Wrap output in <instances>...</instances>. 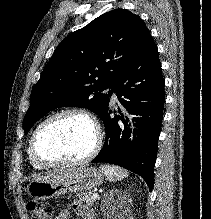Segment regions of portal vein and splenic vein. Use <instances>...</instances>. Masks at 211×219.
I'll list each match as a JSON object with an SVG mask.
<instances>
[{"label":"portal vein and splenic vein","instance_id":"18ae733b","mask_svg":"<svg viewBox=\"0 0 211 219\" xmlns=\"http://www.w3.org/2000/svg\"><path fill=\"white\" fill-rule=\"evenodd\" d=\"M93 199H97L99 197V194L97 192L93 193L92 195Z\"/></svg>","mask_w":211,"mask_h":219}]
</instances>
